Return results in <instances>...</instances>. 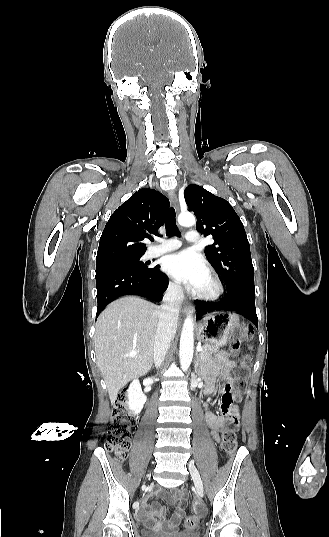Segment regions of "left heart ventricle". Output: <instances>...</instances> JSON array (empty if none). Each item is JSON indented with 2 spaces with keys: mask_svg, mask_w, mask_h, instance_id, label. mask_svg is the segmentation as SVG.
<instances>
[{
  "mask_svg": "<svg viewBox=\"0 0 329 537\" xmlns=\"http://www.w3.org/2000/svg\"><path fill=\"white\" fill-rule=\"evenodd\" d=\"M211 288H212V281L210 277L207 275L198 290L209 291Z\"/></svg>",
  "mask_w": 329,
  "mask_h": 537,
  "instance_id": "b2bd125f",
  "label": "left heart ventricle"
}]
</instances>
